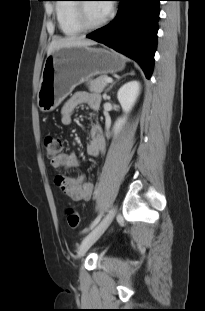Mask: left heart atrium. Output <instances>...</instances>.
Wrapping results in <instances>:
<instances>
[{
    "mask_svg": "<svg viewBox=\"0 0 205 311\" xmlns=\"http://www.w3.org/2000/svg\"><path fill=\"white\" fill-rule=\"evenodd\" d=\"M102 2H111V1H102ZM103 8H104V11L108 14L111 9H112V5L111 3H103L102 4Z\"/></svg>",
    "mask_w": 205,
    "mask_h": 311,
    "instance_id": "39dd6f15",
    "label": "left heart atrium"
}]
</instances>
